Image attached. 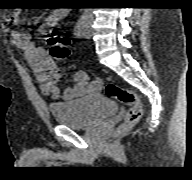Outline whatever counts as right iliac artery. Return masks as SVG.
<instances>
[{"mask_svg": "<svg viewBox=\"0 0 192 180\" xmlns=\"http://www.w3.org/2000/svg\"><path fill=\"white\" fill-rule=\"evenodd\" d=\"M84 27H85V16H81V18L77 21L74 29V34L76 37L81 38L83 36Z\"/></svg>", "mask_w": 192, "mask_h": 180, "instance_id": "1", "label": "right iliac artery"}]
</instances>
